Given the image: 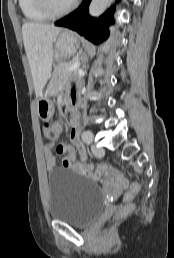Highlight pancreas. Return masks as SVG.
I'll return each instance as SVG.
<instances>
[{
    "mask_svg": "<svg viewBox=\"0 0 174 258\" xmlns=\"http://www.w3.org/2000/svg\"><path fill=\"white\" fill-rule=\"evenodd\" d=\"M78 61L77 58L68 62H61L57 65L54 71V80L52 83V91L58 86L66 82L72 75H75V71H68V68Z\"/></svg>",
    "mask_w": 174,
    "mask_h": 258,
    "instance_id": "1",
    "label": "pancreas"
}]
</instances>
